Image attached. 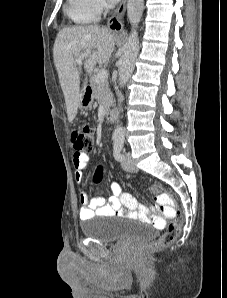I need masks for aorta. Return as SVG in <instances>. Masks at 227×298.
<instances>
[{
	"label": "aorta",
	"instance_id": "obj_1",
	"mask_svg": "<svg viewBox=\"0 0 227 298\" xmlns=\"http://www.w3.org/2000/svg\"><path fill=\"white\" fill-rule=\"evenodd\" d=\"M144 10V0H128L127 16L132 26L131 33L124 45L123 54L118 62L119 85L124 87L134 70L135 60L139 51L138 24ZM125 131L123 127H117L113 132L114 139H124Z\"/></svg>",
	"mask_w": 227,
	"mask_h": 298
}]
</instances>
